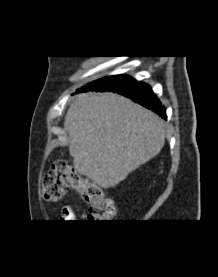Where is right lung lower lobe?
<instances>
[{
	"instance_id": "obj_1",
	"label": "right lung lower lobe",
	"mask_w": 218,
	"mask_h": 277,
	"mask_svg": "<svg viewBox=\"0 0 218 277\" xmlns=\"http://www.w3.org/2000/svg\"><path fill=\"white\" fill-rule=\"evenodd\" d=\"M101 88V82L100 80H98L95 83L86 86L85 88L83 87L81 89V92L89 90L101 92L103 91ZM112 92H116L118 94L126 96L133 101L143 105L144 107L153 110L163 119H166L167 117L165 114V108L161 105L159 99L154 95L150 86L146 85L145 83L134 84L124 89L113 90Z\"/></svg>"
}]
</instances>
